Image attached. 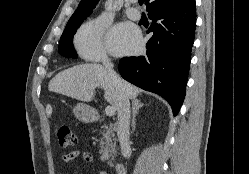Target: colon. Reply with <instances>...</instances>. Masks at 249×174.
I'll use <instances>...</instances> for the list:
<instances>
[{
	"label": "colon",
	"mask_w": 249,
	"mask_h": 174,
	"mask_svg": "<svg viewBox=\"0 0 249 174\" xmlns=\"http://www.w3.org/2000/svg\"><path fill=\"white\" fill-rule=\"evenodd\" d=\"M57 137L60 146L71 147L75 144V136L71 127L67 124H61L57 129Z\"/></svg>",
	"instance_id": "5ec220e1"
}]
</instances>
